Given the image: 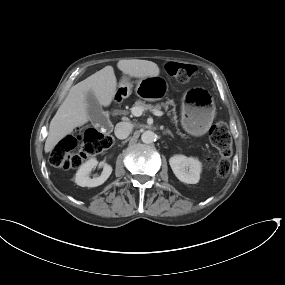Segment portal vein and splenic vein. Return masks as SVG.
<instances>
[{"instance_id":"portal-vein-and-splenic-vein-1","label":"portal vein and splenic vein","mask_w":285,"mask_h":285,"mask_svg":"<svg viewBox=\"0 0 285 285\" xmlns=\"http://www.w3.org/2000/svg\"><path fill=\"white\" fill-rule=\"evenodd\" d=\"M130 111H131V114L135 117H139L143 113V109L141 107H138V106L132 107L130 109ZM153 114L155 116H162L164 113L162 111H159V110H153Z\"/></svg>"}]
</instances>
